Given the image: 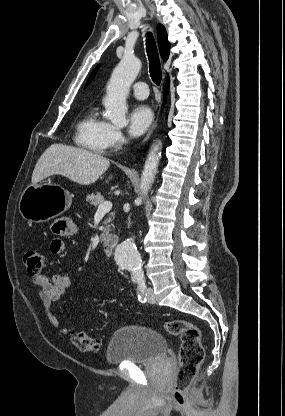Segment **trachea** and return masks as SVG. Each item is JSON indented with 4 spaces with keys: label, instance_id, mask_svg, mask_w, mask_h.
Listing matches in <instances>:
<instances>
[{
    "label": "trachea",
    "instance_id": "3493384b",
    "mask_svg": "<svg viewBox=\"0 0 285 416\" xmlns=\"http://www.w3.org/2000/svg\"><path fill=\"white\" fill-rule=\"evenodd\" d=\"M146 50L149 59L150 76L155 85H160L162 72L155 39L151 32L146 34Z\"/></svg>",
    "mask_w": 285,
    "mask_h": 416
}]
</instances>
